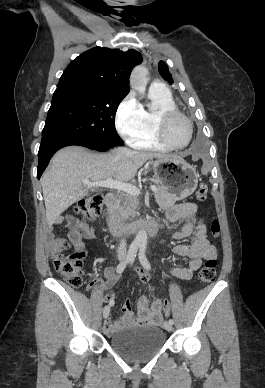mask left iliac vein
Here are the masks:
<instances>
[{
  "mask_svg": "<svg viewBox=\"0 0 265 388\" xmlns=\"http://www.w3.org/2000/svg\"><path fill=\"white\" fill-rule=\"evenodd\" d=\"M163 326H164V329L167 330V331H171L172 330V324L169 323V321L164 322Z\"/></svg>",
  "mask_w": 265,
  "mask_h": 388,
  "instance_id": "4c4485c4",
  "label": "left iliac vein"
}]
</instances>
